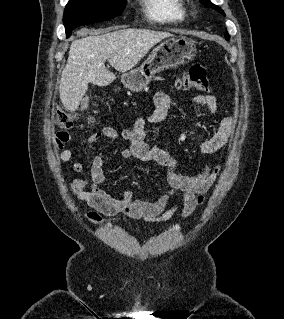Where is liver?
<instances>
[{"mask_svg": "<svg viewBox=\"0 0 284 319\" xmlns=\"http://www.w3.org/2000/svg\"><path fill=\"white\" fill-rule=\"evenodd\" d=\"M105 34L96 33L71 43L67 64L63 69L59 94L66 110L75 111L89 83L107 86L116 76L107 70L105 61L126 73L157 43L173 35L148 29H121Z\"/></svg>", "mask_w": 284, "mask_h": 319, "instance_id": "1", "label": "liver"}]
</instances>
